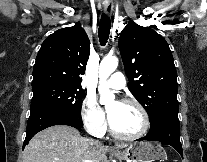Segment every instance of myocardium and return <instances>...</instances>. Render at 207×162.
<instances>
[{"label": "myocardium", "instance_id": "myocardium-1", "mask_svg": "<svg viewBox=\"0 0 207 162\" xmlns=\"http://www.w3.org/2000/svg\"><path fill=\"white\" fill-rule=\"evenodd\" d=\"M119 103L121 104H132L134 106H136L141 114H142V117H143V126L141 128V130L135 134H130V135H127V134H122V133H119L115 128L114 126L112 125L111 121L109 120V128H110V132L111 134L118 138V139H123V140H134V139H138L140 137H142L144 134H146V132L148 131L149 127H150V117H149V114L146 110V108L142 105L141 102H139L137 99L135 98H123L122 100L119 101Z\"/></svg>", "mask_w": 207, "mask_h": 162}]
</instances>
